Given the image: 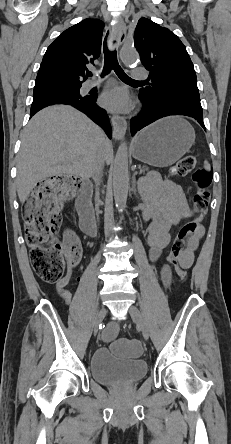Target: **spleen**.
I'll list each match as a JSON object with an SVG mask.
<instances>
[{
    "instance_id": "spleen-1",
    "label": "spleen",
    "mask_w": 231,
    "mask_h": 444,
    "mask_svg": "<svg viewBox=\"0 0 231 444\" xmlns=\"http://www.w3.org/2000/svg\"><path fill=\"white\" fill-rule=\"evenodd\" d=\"M204 168H205V170H207V171L210 170V166H209V164H208L207 161L204 162Z\"/></svg>"
}]
</instances>
